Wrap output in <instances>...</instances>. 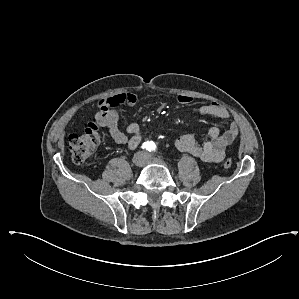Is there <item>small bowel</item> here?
<instances>
[{
  "mask_svg": "<svg viewBox=\"0 0 299 299\" xmlns=\"http://www.w3.org/2000/svg\"><path fill=\"white\" fill-rule=\"evenodd\" d=\"M193 99L189 96L180 95L177 103L180 105H190ZM138 102L135 93H118L109 98L100 99L95 119L102 127H106L117 144H127L130 150L136 149L141 140V130L138 124L131 123L126 127V132L119 129L120 110L122 105L134 106ZM192 112L197 115H210L222 120H229L228 111L220 104L211 102L208 104L192 108ZM239 129L235 122H230L227 129L221 133L216 126L210 127L207 132V140L199 144L193 135L182 134L174 138V146L182 152L190 153L200 160L208 163L221 162L225 157V150L238 136Z\"/></svg>",
  "mask_w": 299,
  "mask_h": 299,
  "instance_id": "obj_1",
  "label": "small bowel"
}]
</instances>
